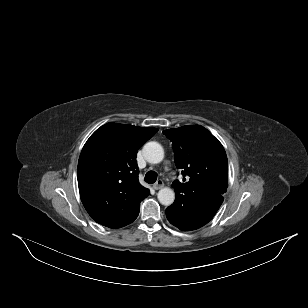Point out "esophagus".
Masks as SVG:
<instances>
[{"label": "esophagus", "mask_w": 308, "mask_h": 308, "mask_svg": "<svg viewBox=\"0 0 308 308\" xmlns=\"http://www.w3.org/2000/svg\"><path fill=\"white\" fill-rule=\"evenodd\" d=\"M164 186V183L162 180H158L154 185H153V188L155 190H158V189H161L162 187Z\"/></svg>", "instance_id": "34e87169"}]
</instances>
